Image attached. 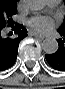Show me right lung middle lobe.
<instances>
[{
  "label": "right lung middle lobe",
  "instance_id": "1",
  "mask_svg": "<svg viewBox=\"0 0 65 89\" xmlns=\"http://www.w3.org/2000/svg\"><path fill=\"white\" fill-rule=\"evenodd\" d=\"M17 12V0H0V29L7 24L14 26L16 23L12 20V15Z\"/></svg>",
  "mask_w": 65,
  "mask_h": 89
}]
</instances>
